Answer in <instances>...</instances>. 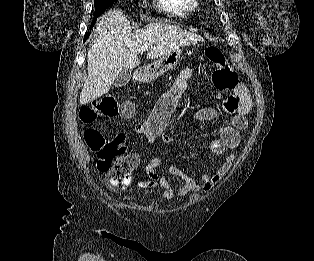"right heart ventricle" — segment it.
I'll use <instances>...</instances> for the list:
<instances>
[{"instance_id":"right-heart-ventricle-1","label":"right heart ventricle","mask_w":314,"mask_h":261,"mask_svg":"<svg viewBox=\"0 0 314 261\" xmlns=\"http://www.w3.org/2000/svg\"><path fill=\"white\" fill-rule=\"evenodd\" d=\"M155 7L171 16L186 17L195 12L196 0H154Z\"/></svg>"}]
</instances>
